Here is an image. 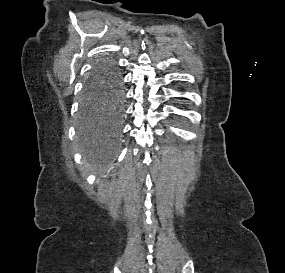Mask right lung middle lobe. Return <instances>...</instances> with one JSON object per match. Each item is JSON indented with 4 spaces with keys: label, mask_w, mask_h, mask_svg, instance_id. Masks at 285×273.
Returning a JSON list of instances; mask_svg holds the SVG:
<instances>
[{
    "label": "right lung middle lobe",
    "mask_w": 285,
    "mask_h": 273,
    "mask_svg": "<svg viewBox=\"0 0 285 273\" xmlns=\"http://www.w3.org/2000/svg\"><path fill=\"white\" fill-rule=\"evenodd\" d=\"M119 80V75L109 60L98 62L86 79L81 100L82 121L80 126L87 133H91L99 127L96 115L110 96L114 98L111 114L115 119L120 118Z\"/></svg>",
    "instance_id": "obj_1"
}]
</instances>
